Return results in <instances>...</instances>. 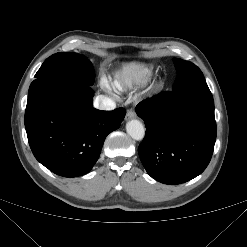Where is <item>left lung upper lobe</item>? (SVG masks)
I'll return each instance as SVG.
<instances>
[{
  "mask_svg": "<svg viewBox=\"0 0 247 247\" xmlns=\"http://www.w3.org/2000/svg\"><path fill=\"white\" fill-rule=\"evenodd\" d=\"M173 62L177 71V78L172 87V91L179 92L194 88H207L201 70L191 62L174 58Z\"/></svg>",
  "mask_w": 247,
  "mask_h": 247,
  "instance_id": "obj_1",
  "label": "left lung upper lobe"
}]
</instances>
